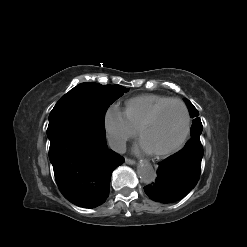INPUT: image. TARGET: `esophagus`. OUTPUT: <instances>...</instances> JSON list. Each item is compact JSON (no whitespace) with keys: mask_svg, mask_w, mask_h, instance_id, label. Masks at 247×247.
Returning <instances> with one entry per match:
<instances>
[{"mask_svg":"<svg viewBox=\"0 0 247 247\" xmlns=\"http://www.w3.org/2000/svg\"><path fill=\"white\" fill-rule=\"evenodd\" d=\"M125 162H126V164H129V165H134V164H136L135 160L129 159V158H126V159H125Z\"/></svg>","mask_w":247,"mask_h":247,"instance_id":"1","label":"esophagus"}]
</instances>
